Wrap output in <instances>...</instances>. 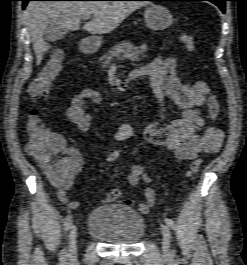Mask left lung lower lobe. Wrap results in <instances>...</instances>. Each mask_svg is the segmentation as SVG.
Returning <instances> with one entry per match:
<instances>
[{
  "label": "left lung lower lobe",
  "instance_id": "1",
  "mask_svg": "<svg viewBox=\"0 0 247 265\" xmlns=\"http://www.w3.org/2000/svg\"><path fill=\"white\" fill-rule=\"evenodd\" d=\"M149 1H203V0H149ZM216 4L225 13V2L228 0H206Z\"/></svg>",
  "mask_w": 247,
  "mask_h": 265
}]
</instances>
